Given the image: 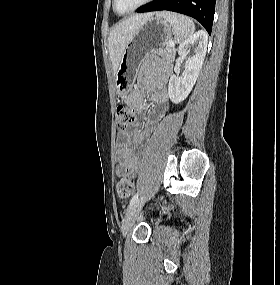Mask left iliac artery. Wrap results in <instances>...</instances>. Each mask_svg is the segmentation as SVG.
<instances>
[{
	"label": "left iliac artery",
	"mask_w": 280,
	"mask_h": 285,
	"mask_svg": "<svg viewBox=\"0 0 280 285\" xmlns=\"http://www.w3.org/2000/svg\"><path fill=\"white\" fill-rule=\"evenodd\" d=\"M139 192L135 193L130 201L129 207H131L138 200Z\"/></svg>",
	"instance_id": "left-iliac-artery-1"
}]
</instances>
